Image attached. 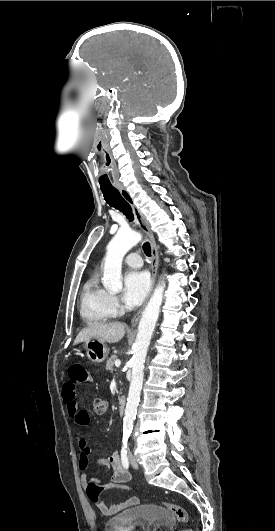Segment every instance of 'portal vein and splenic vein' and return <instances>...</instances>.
<instances>
[{"instance_id": "1", "label": "portal vein and splenic vein", "mask_w": 275, "mask_h": 531, "mask_svg": "<svg viewBox=\"0 0 275 531\" xmlns=\"http://www.w3.org/2000/svg\"><path fill=\"white\" fill-rule=\"evenodd\" d=\"M121 365V361H119V359H117V361H115V367H120Z\"/></svg>"}]
</instances>
